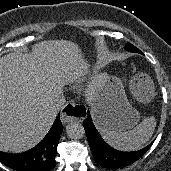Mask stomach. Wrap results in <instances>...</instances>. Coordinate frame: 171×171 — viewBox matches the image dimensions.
Wrapping results in <instances>:
<instances>
[{
    "mask_svg": "<svg viewBox=\"0 0 171 171\" xmlns=\"http://www.w3.org/2000/svg\"><path fill=\"white\" fill-rule=\"evenodd\" d=\"M93 81L99 85L95 95L101 106L97 115L101 122L119 131L133 128L140 113L128 101L122 81L105 73H95Z\"/></svg>",
    "mask_w": 171,
    "mask_h": 171,
    "instance_id": "obj_1",
    "label": "stomach"
}]
</instances>
